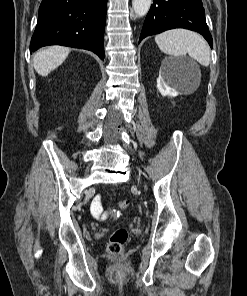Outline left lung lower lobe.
<instances>
[{
  "mask_svg": "<svg viewBox=\"0 0 247 296\" xmlns=\"http://www.w3.org/2000/svg\"><path fill=\"white\" fill-rule=\"evenodd\" d=\"M185 28L200 33L212 48L213 40L201 0H153L139 42L168 29Z\"/></svg>",
  "mask_w": 247,
  "mask_h": 296,
  "instance_id": "left-lung-lower-lobe-1",
  "label": "left lung lower lobe"
}]
</instances>
